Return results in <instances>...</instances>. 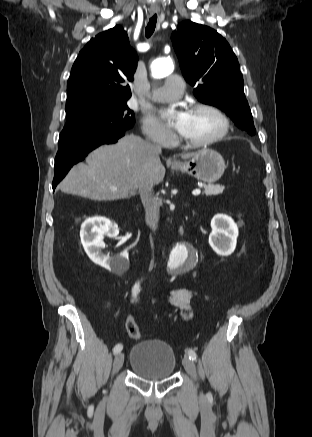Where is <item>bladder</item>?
Here are the masks:
<instances>
[{
	"label": "bladder",
	"mask_w": 312,
	"mask_h": 437,
	"mask_svg": "<svg viewBox=\"0 0 312 437\" xmlns=\"http://www.w3.org/2000/svg\"><path fill=\"white\" fill-rule=\"evenodd\" d=\"M130 368L138 377L159 381L170 378L176 367V356L165 341L150 339L135 344L130 351Z\"/></svg>",
	"instance_id": "31cf9c89"
}]
</instances>
